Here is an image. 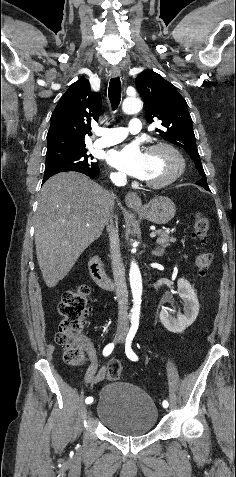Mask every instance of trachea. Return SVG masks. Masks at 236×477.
Returning a JSON list of instances; mask_svg holds the SVG:
<instances>
[{"label":"trachea","mask_w":236,"mask_h":477,"mask_svg":"<svg viewBox=\"0 0 236 477\" xmlns=\"http://www.w3.org/2000/svg\"><path fill=\"white\" fill-rule=\"evenodd\" d=\"M108 96L113 110H116L121 99V81L118 77L112 78L109 83Z\"/></svg>","instance_id":"obj_1"}]
</instances>
